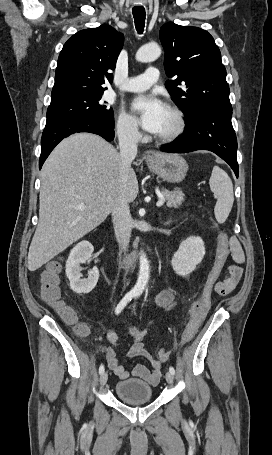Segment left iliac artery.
I'll return each mask as SVG.
<instances>
[{
	"label": "left iliac artery",
	"mask_w": 272,
	"mask_h": 455,
	"mask_svg": "<svg viewBox=\"0 0 272 455\" xmlns=\"http://www.w3.org/2000/svg\"><path fill=\"white\" fill-rule=\"evenodd\" d=\"M136 296L138 297L139 295H136ZM169 372H170L172 375H174V374H175V369L171 366V367L169 368Z\"/></svg>",
	"instance_id": "1"
}]
</instances>
